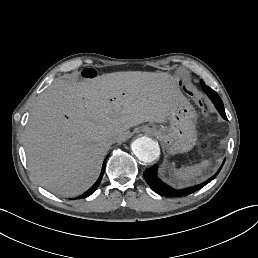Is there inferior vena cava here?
<instances>
[{
  "label": "inferior vena cava",
  "instance_id": "1",
  "mask_svg": "<svg viewBox=\"0 0 258 258\" xmlns=\"http://www.w3.org/2000/svg\"><path fill=\"white\" fill-rule=\"evenodd\" d=\"M105 140L109 145H111L118 141V137L115 133H109L106 135Z\"/></svg>",
  "mask_w": 258,
  "mask_h": 258
}]
</instances>
